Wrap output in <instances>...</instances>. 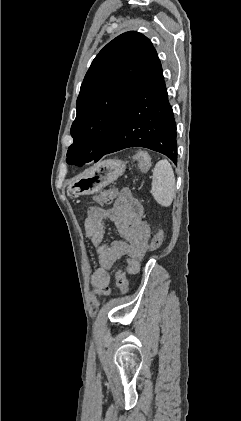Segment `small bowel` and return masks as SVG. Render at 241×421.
<instances>
[{
  "label": "small bowel",
  "mask_w": 241,
  "mask_h": 421,
  "mask_svg": "<svg viewBox=\"0 0 241 421\" xmlns=\"http://www.w3.org/2000/svg\"><path fill=\"white\" fill-rule=\"evenodd\" d=\"M143 206L128 188H123L109 209L90 207L85 219V232L99 255L100 268L91 278L99 296H109L111 271L122 257L142 259L148 249L149 227L142 220ZM112 222L121 240L104 243L105 222Z\"/></svg>",
  "instance_id": "c3829d8e"
}]
</instances>
